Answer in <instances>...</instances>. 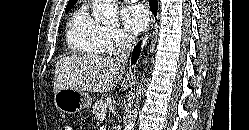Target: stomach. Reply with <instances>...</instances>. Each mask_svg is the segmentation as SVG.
Instances as JSON below:
<instances>
[{
    "label": "stomach",
    "instance_id": "stomach-1",
    "mask_svg": "<svg viewBox=\"0 0 249 130\" xmlns=\"http://www.w3.org/2000/svg\"><path fill=\"white\" fill-rule=\"evenodd\" d=\"M54 103L58 110L66 114H75L92 105V98L87 92L62 89L54 96Z\"/></svg>",
    "mask_w": 249,
    "mask_h": 130
}]
</instances>
